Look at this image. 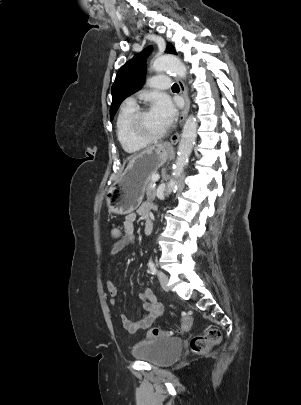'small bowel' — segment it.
<instances>
[{
  "label": "small bowel",
  "mask_w": 301,
  "mask_h": 405,
  "mask_svg": "<svg viewBox=\"0 0 301 405\" xmlns=\"http://www.w3.org/2000/svg\"><path fill=\"white\" fill-rule=\"evenodd\" d=\"M152 210L153 205L150 202H144L137 210V213H129L125 216L123 232L119 230V235L117 237L112 236L116 241L111 248L112 256L119 254L125 246L134 242V223L137 216H141L146 221L147 219H150ZM106 287L111 297V303L115 305L118 295L117 287L110 280L107 281ZM140 299L143 304L144 313L139 320L133 321L125 314L120 315L124 328L130 333H136L141 329L148 328L162 313V305L159 303L155 293L151 289H145L141 293Z\"/></svg>",
  "instance_id": "small-bowel-1"
}]
</instances>
